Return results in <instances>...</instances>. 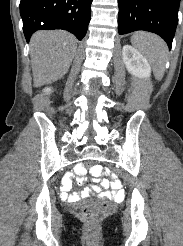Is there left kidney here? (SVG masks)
<instances>
[{"instance_id":"left-kidney-1","label":"left kidney","mask_w":183,"mask_h":246,"mask_svg":"<svg viewBox=\"0 0 183 246\" xmlns=\"http://www.w3.org/2000/svg\"><path fill=\"white\" fill-rule=\"evenodd\" d=\"M123 62L126 69L139 78H149L151 67L146 58L130 45H124L122 49Z\"/></svg>"}]
</instances>
